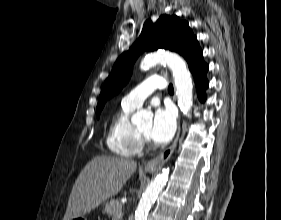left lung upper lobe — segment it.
<instances>
[{
    "mask_svg": "<svg viewBox=\"0 0 281 220\" xmlns=\"http://www.w3.org/2000/svg\"><path fill=\"white\" fill-rule=\"evenodd\" d=\"M158 49L177 52L187 62L202 54L196 36L186 21L169 15H161L155 24L151 20H147L138 40L129 51L124 52L116 60L109 77L105 80L97 105V118H99L106 100L118 93L128 82L132 66L139 54L143 50L155 51Z\"/></svg>",
    "mask_w": 281,
    "mask_h": 220,
    "instance_id": "5c2ea615",
    "label": "left lung upper lobe"
}]
</instances>
